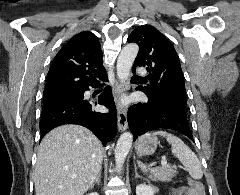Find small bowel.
Wrapping results in <instances>:
<instances>
[{
	"instance_id": "obj_1",
	"label": "small bowel",
	"mask_w": 240,
	"mask_h": 195,
	"mask_svg": "<svg viewBox=\"0 0 240 195\" xmlns=\"http://www.w3.org/2000/svg\"><path fill=\"white\" fill-rule=\"evenodd\" d=\"M170 195H205L203 186H181L169 190Z\"/></svg>"
}]
</instances>
